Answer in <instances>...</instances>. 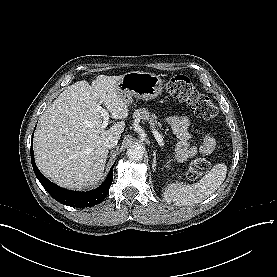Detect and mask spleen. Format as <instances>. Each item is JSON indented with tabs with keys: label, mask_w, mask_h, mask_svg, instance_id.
Returning a JSON list of instances; mask_svg holds the SVG:
<instances>
[{
	"label": "spleen",
	"mask_w": 277,
	"mask_h": 277,
	"mask_svg": "<svg viewBox=\"0 0 277 277\" xmlns=\"http://www.w3.org/2000/svg\"><path fill=\"white\" fill-rule=\"evenodd\" d=\"M227 174V166L218 163L204 175L201 180L194 184L173 182L164 188L163 198L173 201L179 206L198 204L213 194L223 183Z\"/></svg>",
	"instance_id": "3e777b00"
}]
</instances>
